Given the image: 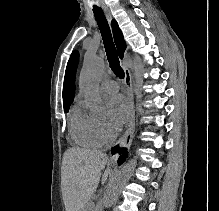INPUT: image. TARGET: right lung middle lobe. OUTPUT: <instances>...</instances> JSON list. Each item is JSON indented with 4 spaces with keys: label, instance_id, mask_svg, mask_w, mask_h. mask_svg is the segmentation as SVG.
<instances>
[{
    "label": "right lung middle lobe",
    "instance_id": "obj_1",
    "mask_svg": "<svg viewBox=\"0 0 219 211\" xmlns=\"http://www.w3.org/2000/svg\"><path fill=\"white\" fill-rule=\"evenodd\" d=\"M69 107H70V104H69V105H64V110H65L66 112H68Z\"/></svg>",
    "mask_w": 219,
    "mask_h": 211
}]
</instances>
